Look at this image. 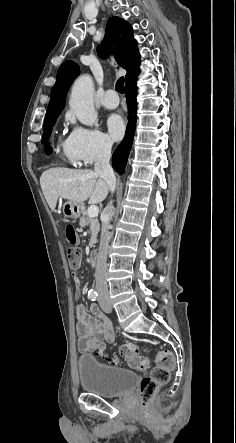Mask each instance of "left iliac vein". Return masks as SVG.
<instances>
[{
  "label": "left iliac vein",
  "instance_id": "obj_1",
  "mask_svg": "<svg viewBox=\"0 0 236 443\" xmlns=\"http://www.w3.org/2000/svg\"><path fill=\"white\" fill-rule=\"evenodd\" d=\"M101 307H102L103 311L106 312V313H111L112 312V307L107 308L104 305H102Z\"/></svg>",
  "mask_w": 236,
  "mask_h": 443
}]
</instances>
